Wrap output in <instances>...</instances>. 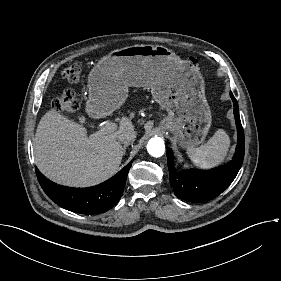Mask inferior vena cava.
<instances>
[{"instance_id": "602c4592", "label": "inferior vena cava", "mask_w": 281, "mask_h": 281, "mask_svg": "<svg viewBox=\"0 0 281 281\" xmlns=\"http://www.w3.org/2000/svg\"><path fill=\"white\" fill-rule=\"evenodd\" d=\"M136 138V132L134 130L125 131L117 135V139L124 144H129Z\"/></svg>"}]
</instances>
